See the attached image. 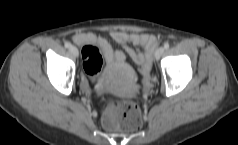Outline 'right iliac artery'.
Masks as SVG:
<instances>
[{
	"mask_svg": "<svg viewBox=\"0 0 238 145\" xmlns=\"http://www.w3.org/2000/svg\"><path fill=\"white\" fill-rule=\"evenodd\" d=\"M64 45H65L66 48H70V46H71V44L69 42H65Z\"/></svg>",
	"mask_w": 238,
	"mask_h": 145,
	"instance_id": "obj_1",
	"label": "right iliac artery"
}]
</instances>
